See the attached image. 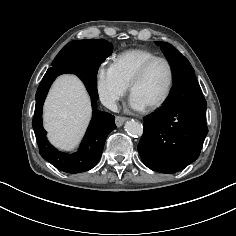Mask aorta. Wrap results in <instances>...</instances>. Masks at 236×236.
<instances>
[{"instance_id": "1", "label": "aorta", "mask_w": 236, "mask_h": 236, "mask_svg": "<svg viewBox=\"0 0 236 236\" xmlns=\"http://www.w3.org/2000/svg\"><path fill=\"white\" fill-rule=\"evenodd\" d=\"M125 131L134 137L141 136L143 134V126L136 121H127L125 124Z\"/></svg>"}]
</instances>
